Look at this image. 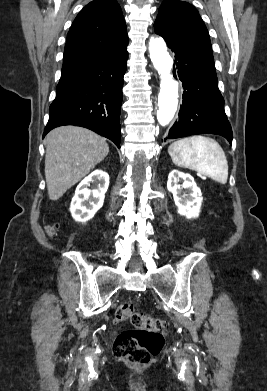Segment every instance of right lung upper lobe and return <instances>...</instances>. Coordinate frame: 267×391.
Returning a JSON list of instances; mask_svg holds the SVG:
<instances>
[{"mask_svg":"<svg viewBox=\"0 0 267 391\" xmlns=\"http://www.w3.org/2000/svg\"><path fill=\"white\" fill-rule=\"evenodd\" d=\"M128 42L126 24L116 0H94L80 11L68 32L62 71L118 52Z\"/></svg>","mask_w":267,"mask_h":391,"instance_id":"right-lung-upper-lobe-1","label":"right lung upper lobe"}]
</instances>
